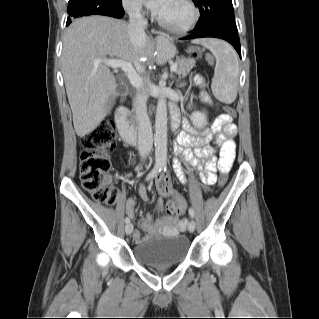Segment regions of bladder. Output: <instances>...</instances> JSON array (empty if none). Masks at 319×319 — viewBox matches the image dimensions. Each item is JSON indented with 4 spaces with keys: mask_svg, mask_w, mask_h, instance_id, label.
I'll use <instances>...</instances> for the list:
<instances>
[{
    "mask_svg": "<svg viewBox=\"0 0 319 319\" xmlns=\"http://www.w3.org/2000/svg\"><path fill=\"white\" fill-rule=\"evenodd\" d=\"M191 250L189 238L181 234L145 238L134 247V257L143 265H176Z\"/></svg>",
    "mask_w": 319,
    "mask_h": 319,
    "instance_id": "1",
    "label": "bladder"
}]
</instances>
